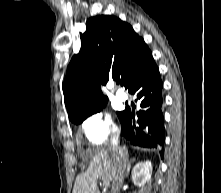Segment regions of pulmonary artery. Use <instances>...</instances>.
<instances>
[{
	"instance_id": "obj_1",
	"label": "pulmonary artery",
	"mask_w": 221,
	"mask_h": 193,
	"mask_svg": "<svg viewBox=\"0 0 221 193\" xmlns=\"http://www.w3.org/2000/svg\"><path fill=\"white\" fill-rule=\"evenodd\" d=\"M116 97L121 101H126L128 99L127 93L121 89L117 90Z\"/></svg>"
}]
</instances>
